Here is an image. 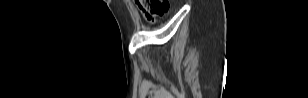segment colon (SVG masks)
I'll use <instances>...</instances> for the list:
<instances>
[{
  "mask_svg": "<svg viewBox=\"0 0 308 98\" xmlns=\"http://www.w3.org/2000/svg\"><path fill=\"white\" fill-rule=\"evenodd\" d=\"M135 3L150 22L164 16L169 9L168 0H136Z\"/></svg>",
  "mask_w": 308,
  "mask_h": 98,
  "instance_id": "obj_1",
  "label": "colon"
}]
</instances>
